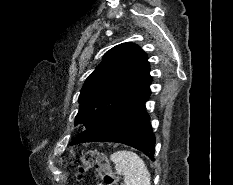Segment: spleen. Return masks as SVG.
I'll use <instances>...</instances> for the list:
<instances>
[{"instance_id":"spleen-1","label":"spleen","mask_w":233,"mask_h":185,"mask_svg":"<svg viewBox=\"0 0 233 185\" xmlns=\"http://www.w3.org/2000/svg\"><path fill=\"white\" fill-rule=\"evenodd\" d=\"M118 174L124 176L125 185H151L150 173L144 161L134 152L120 150L110 156Z\"/></svg>"}]
</instances>
